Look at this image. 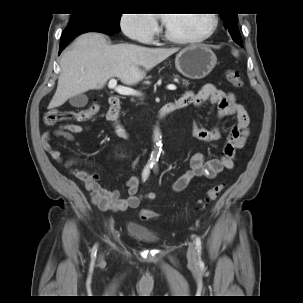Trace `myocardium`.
<instances>
[{"instance_id":"f54148a6","label":"myocardium","mask_w":303,"mask_h":303,"mask_svg":"<svg viewBox=\"0 0 303 303\" xmlns=\"http://www.w3.org/2000/svg\"><path fill=\"white\" fill-rule=\"evenodd\" d=\"M210 15L212 17V24H211L210 28L205 33H203L199 36H194V37L176 36L167 28L166 25L164 26V29H163V35L168 40L175 42V43H180V44L202 42L214 34V32L216 31L218 24H219L218 16L214 13H212Z\"/></svg>"}]
</instances>
